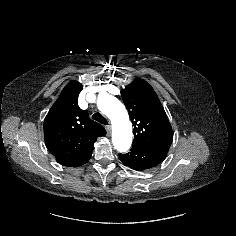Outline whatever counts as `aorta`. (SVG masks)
<instances>
[{"label":"aorta","instance_id":"aorta-1","mask_svg":"<svg viewBox=\"0 0 236 236\" xmlns=\"http://www.w3.org/2000/svg\"><path fill=\"white\" fill-rule=\"evenodd\" d=\"M98 108L112 122V143L119 152H126L132 144V124L124 105L113 96L100 97Z\"/></svg>","mask_w":236,"mask_h":236}]
</instances>
